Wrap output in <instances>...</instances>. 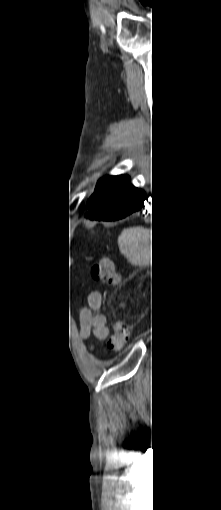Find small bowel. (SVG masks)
I'll use <instances>...</instances> for the list:
<instances>
[{"instance_id":"obj_1","label":"small bowel","mask_w":221,"mask_h":510,"mask_svg":"<svg viewBox=\"0 0 221 510\" xmlns=\"http://www.w3.org/2000/svg\"><path fill=\"white\" fill-rule=\"evenodd\" d=\"M101 308V293L91 292L88 296V308L81 312L80 333L83 338H87L91 331L99 340H105L108 337L109 328L106 324V317L101 313Z\"/></svg>"}]
</instances>
